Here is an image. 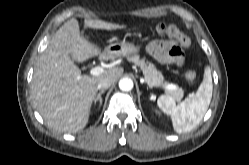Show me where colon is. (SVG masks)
Masks as SVG:
<instances>
[{"mask_svg": "<svg viewBox=\"0 0 249 165\" xmlns=\"http://www.w3.org/2000/svg\"><path fill=\"white\" fill-rule=\"evenodd\" d=\"M156 32L159 35H166L169 36L175 40H177L182 46L186 48H190L192 46V41L191 39L185 35L178 27L175 25H165V24H159L156 27ZM197 78V75L194 70H188L186 72V80L190 83L193 84L195 83Z\"/></svg>", "mask_w": 249, "mask_h": 165, "instance_id": "colon-1", "label": "colon"}]
</instances>
